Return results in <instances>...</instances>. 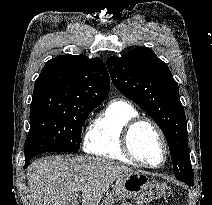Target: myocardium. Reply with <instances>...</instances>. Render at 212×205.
<instances>
[{"mask_svg":"<svg viewBox=\"0 0 212 205\" xmlns=\"http://www.w3.org/2000/svg\"><path fill=\"white\" fill-rule=\"evenodd\" d=\"M142 124H148L150 125L158 135L162 147H163V158L160 163L158 164H149L144 161H142L134 152L133 147H132V135L135 129L142 125ZM122 148L125 154L131 158L137 165L147 167V168H159L161 167L167 160L168 158V144L166 137L162 131V129L159 127V125L152 119L147 118V117H136L132 119L124 128L123 133H122Z\"/></svg>","mask_w":212,"mask_h":205,"instance_id":"1","label":"myocardium"}]
</instances>
